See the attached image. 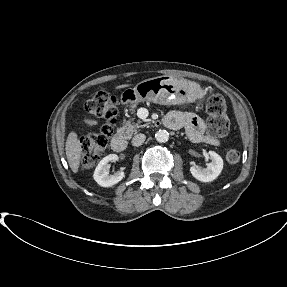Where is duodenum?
Masks as SVG:
<instances>
[{"instance_id": "obj_1", "label": "duodenum", "mask_w": 287, "mask_h": 287, "mask_svg": "<svg viewBox=\"0 0 287 287\" xmlns=\"http://www.w3.org/2000/svg\"><path fill=\"white\" fill-rule=\"evenodd\" d=\"M111 147L116 152H124L128 148L126 138L122 134H115L111 138Z\"/></svg>"}]
</instances>
